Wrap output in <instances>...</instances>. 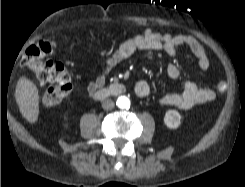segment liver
<instances>
[{
    "mask_svg": "<svg viewBox=\"0 0 245 187\" xmlns=\"http://www.w3.org/2000/svg\"><path fill=\"white\" fill-rule=\"evenodd\" d=\"M15 98L22 116L29 122L35 123L39 115L40 95L36 85L28 78H19Z\"/></svg>",
    "mask_w": 245,
    "mask_h": 187,
    "instance_id": "1",
    "label": "liver"
}]
</instances>
